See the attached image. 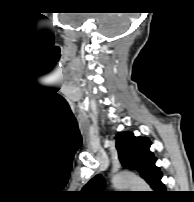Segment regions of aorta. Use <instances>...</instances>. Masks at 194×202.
I'll list each match as a JSON object with an SVG mask.
<instances>
[{
	"label": "aorta",
	"instance_id": "762f6f07",
	"mask_svg": "<svg viewBox=\"0 0 194 202\" xmlns=\"http://www.w3.org/2000/svg\"><path fill=\"white\" fill-rule=\"evenodd\" d=\"M112 184L116 189L131 188L134 191H150V187L143 180L126 174L114 176Z\"/></svg>",
	"mask_w": 194,
	"mask_h": 202
}]
</instances>
